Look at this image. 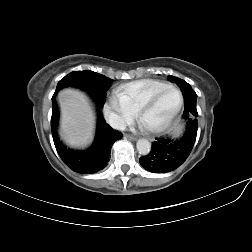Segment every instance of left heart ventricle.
<instances>
[{"mask_svg":"<svg viewBox=\"0 0 252 252\" xmlns=\"http://www.w3.org/2000/svg\"><path fill=\"white\" fill-rule=\"evenodd\" d=\"M178 102V96L174 92H167L154 106L141 117V123L145 127L157 125L164 121Z\"/></svg>","mask_w":252,"mask_h":252,"instance_id":"1","label":"left heart ventricle"}]
</instances>
